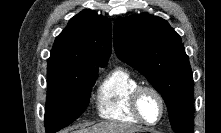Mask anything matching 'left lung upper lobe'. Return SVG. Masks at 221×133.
<instances>
[{"instance_id": "left-lung-upper-lobe-1", "label": "left lung upper lobe", "mask_w": 221, "mask_h": 133, "mask_svg": "<svg viewBox=\"0 0 221 133\" xmlns=\"http://www.w3.org/2000/svg\"><path fill=\"white\" fill-rule=\"evenodd\" d=\"M117 56L144 75L162 95L172 129L193 133V76L180 36L160 17L119 19L114 27Z\"/></svg>"}]
</instances>
